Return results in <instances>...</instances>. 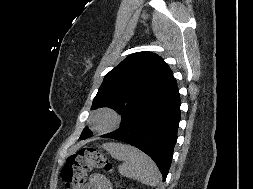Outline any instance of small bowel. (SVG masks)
<instances>
[{
	"instance_id": "1",
	"label": "small bowel",
	"mask_w": 253,
	"mask_h": 189,
	"mask_svg": "<svg viewBox=\"0 0 253 189\" xmlns=\"http://www.w3.org/2000/svg\"><path fill=\"white\" fill-rule=\"evenodd\" d=\"M85 189H112L111 182L102 174L95 173L90 176Z\"/></svg>"
}]
</instances>
